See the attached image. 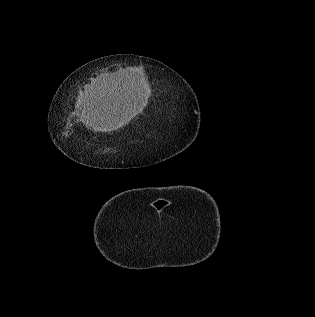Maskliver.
<instances>
[{"instance_id":"obj_1","label":"liver","mask_w":315,"mask_h":317,"mask_svg":"<svg viewBox=\"0 0 315 317\" xmlns=\"http://www.w3.org/2000/svg\"><path fill=\"white\" fill-rule=\"evenodd\" d=\"M83 106L82 121L94 131H116L135 116L132 101L123 98L117 85L91 86L83 97Z\"/></svg>"}]
</instances>
